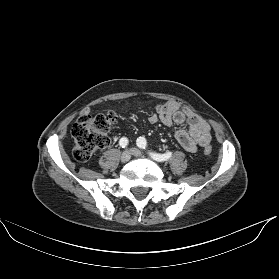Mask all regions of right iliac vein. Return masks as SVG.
<instances>
[{"label": "right iliac vein", "instance_id": "63e3f726", "mask_svg": "<svg viewBox=\"0 0 279 279\" xmlns=\"http://www.w3.org/2000/svg\"><path fill=\"white\" fill-rule=\"evenodd\" d=\"M132 153L131 150H126L121 155V161L123 163L128 162L131 159Z\"/></svg>", "mask_w": 279, "mask_h": 279}]
</instances>
